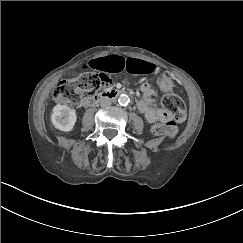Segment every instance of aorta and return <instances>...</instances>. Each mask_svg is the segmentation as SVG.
Listing matches in <instances>:
<instances>
[{
	"label": "aorta",
	"instance_id": "obj_1",
	"mask_svg": "<svg viewBox=\"0 0 243 243\" xmlns=\"http://www.w3.org/2000/svg\"><path fill=\"white\" fill-rule=\"evenodd\" d=\"M118 102L121 105H126L129 102V98L126 94H121L120 97L118 98Z\"/></svg>",
	"mask_w": 243,
	"mask_h": 243
}]
</instances>
